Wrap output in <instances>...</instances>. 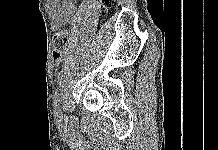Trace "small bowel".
I'll list each match as a JSON object with an SVG mask.
<instances>
[{"instance_id": "obj_1", "label": "small bowel", "mask_w": 218, "mask_h": 150, "mask_svg": "<svg viewBox=\"0 0 218 150\" xmlns=\"http://www.w3.org/2000/svg\"><path fill=\"white\" fill-rule=\"evenodd\" d=\"M50 7L55 29L69 23L76 13L74 0H50Z\"/></svg>"}]
</instances>
